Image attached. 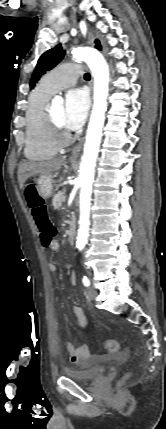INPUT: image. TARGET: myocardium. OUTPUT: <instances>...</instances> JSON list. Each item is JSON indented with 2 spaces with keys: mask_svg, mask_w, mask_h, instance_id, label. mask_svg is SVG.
Wrapping results in <instances>:
<instances>
[{
  "mask_svg": "<svg viewBox=\"0 0 166 429\" xmlns=\"http://www.w3.org/2000/svg\"><path fill=\"white\" fill-rule=\"evenodd\" d=\"M46 121L52 143L56 147L68 145L72 139L71 134L68 131H63L59 128L49 110H46Z\"/></svg>",
  "mask_w": 166,
  "mask_h": 429,
  "instance_id": "obj_1",
  "label": "myocardium"
}]
</instances>
